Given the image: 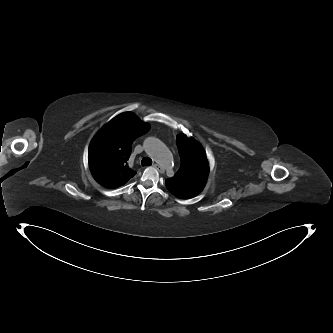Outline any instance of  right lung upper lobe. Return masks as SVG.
I'll return each mask as SVG.
<instances>
[{
  "label": "right lung upper lobe",
  "mask_w": 333,
  "mask_h": 333,
  "mask_svg": "<svg viewBox=\"0 0 333 333\" xmlns=\"http://www.w3.org/2000/svg\"><path fill=\"white\" fill-rule=\"evenodd\" d=\"M149 124L131 112L109 121L92 139L88 150L89 168L94 179L106 188L127 183L136 172L129 168L131 144L147 133Z\"/></svg>",
  "instance_id": "1"
}]
</instances>
